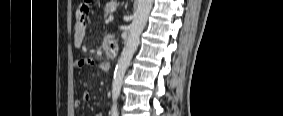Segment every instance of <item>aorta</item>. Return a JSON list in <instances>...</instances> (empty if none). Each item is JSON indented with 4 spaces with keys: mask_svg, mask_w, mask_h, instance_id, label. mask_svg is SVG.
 Listing matches in <instances>:
<instances>
[{
    "mask_svg": "<svg viewBox=\"0 0 283 116\" xmlns=\"http://www.w3.org/2000/svg\"><path fill=\"white\" fill-rule=\"evenodd\" d=\"M152 4L153 0H137V6L133 21L130 25L129 35L114 71L112 82V100L114 102H116L120 96L125 72L139 45L140 34L147 23Z\"/></svg>",
    "mask_w": 283,
    "mask_h": 116,
    "instance_id": "1",
    "label": "aorta"
}]
</instances>
